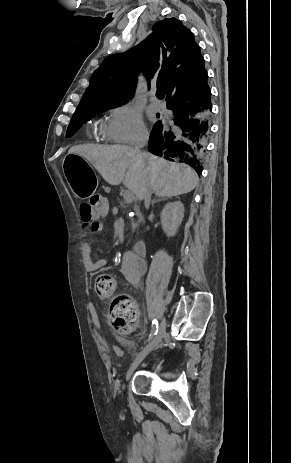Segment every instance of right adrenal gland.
<instances>
[{
	"instance_id": "obj_1",
	"label": "right adrenal gland",
	"mask_w": 291,
	"mask_h": 463,
	"mask_svg": "<svg viewBox=\"0 0 291 463\" xmlns=\"http://www.w3.org/2000/svg\"><path fill=\"white\" fill-rule=\"evenodd\" d=\"M165 199H166L165 197H158V198H155V199L152 201L151 205L154 206L155 203L160 202V201L165 200Z\"/></svg>"
}]
</instances>
